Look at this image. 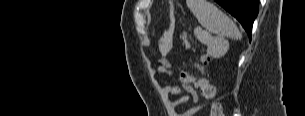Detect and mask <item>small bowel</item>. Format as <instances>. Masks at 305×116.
<instances>
[{"instance_id":"1","label":"small bowel","mask_w":305,"mask_h":116,"mask_svg":"<svg viewBox=\"0 0 305 116\" xmlns=\"http://www.w3.org/2000/svg\"><path fill=\"white\" fill-rule=\"evenodd\" d=\"M173 46V42L172 40H164L161 43V51L163 54H167ZM170 68V64L168 62H163L162 66L159 68V71L164 72V71H168ZM184 89L187 91L188 94L185 95H181L175 102H174V106H178L181 104H185L187 103L191 98L194 101L198 100V96L196 94V92L194 91V89L189 86V85H184ZM168 91L171 94H179L180 93V89L176 86H169L168 87ZM198 107H194L191 109L186 110L182 116H193L195 115V113L197 112Z\"/></svg>"}]
</instances>
